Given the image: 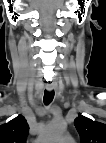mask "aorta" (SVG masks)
Wrapping results in <instances>:
<instances>
[{"mask_svg":"<svg viewBox=\"0 0 106 143\" xmlns=\"http://www.w3.org/2000/svg\"><path fill=\"white\" fill-rule=\"evenodd\" d=\"M65 131V124L61 121L50 122L42 133V140L51 142L57 140Z\"/></svg>","mask_w":106,"mask_h":143,"instance_id":"762f6f07","label":"aorta"}]
</instances>
